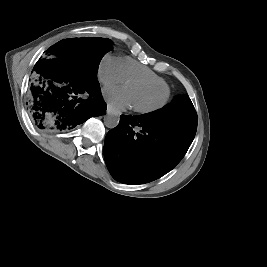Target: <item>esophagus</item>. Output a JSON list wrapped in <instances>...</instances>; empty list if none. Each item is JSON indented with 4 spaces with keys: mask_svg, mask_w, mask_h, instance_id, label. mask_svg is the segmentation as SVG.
<instances>
[{
    "mask_svg": "<svg viewBox=\"0 0 267 267\" xmlns=\"http://www.w3.org/2000/svg\"><path fill=\"white\" fill-rule=\"evenodd\" d=\"M112 109H113V108H112L110 105L107 106V112H108V113H111V112H112Z\"/></svg>",
    "mask_w": 267,
    "mask_h": 267,
    "instance_id": "34e87169",
    "label": "esophagus"
}]
</instances>
